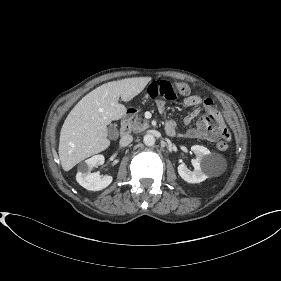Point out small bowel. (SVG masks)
I'll return each instance as SVG.
<instances>
[{
  "label": "small bowel",
  "mask_w": 281,
  "mask_h": 281,
  "mask_svg": "<svg viewBox=\"0 0 281 281\" xmlns=\"http://www.w3.org/2000/svg\"><path fill=\"white\" fill-rule=\"evenodd\" d=\"M185 106L192 107L193 110L185 117V124L190 125L192 121L202 112L206 115L199 119L195 126L189 127L185 133L188 138H202L210 142H215L223 137V130L226 129L223 125L222 116L214 107V103L210 99H202L198 95H189L182 100ZM156 106L159 112H163L166 106L164 100H157ZM165 130L170 136H177L176 124L172 120L165 122Z\"/></svg>",
  "instance_id": "obj_1"
}]
</instances>
